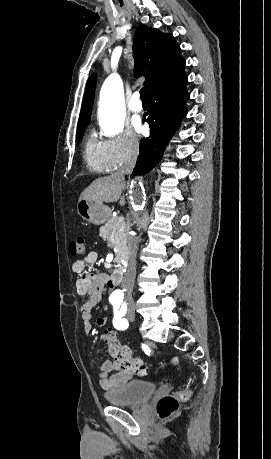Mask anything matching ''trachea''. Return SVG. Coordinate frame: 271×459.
Returning <instances> with one entry per match:
<instances>
[{"label":"trachea","instance_id":"trachea-1","mask_svg":"<svg viewBox=\"0 0 271 459\" xmlns=\"http://www.w3.org/2000/svg\"><path fill=\"white\" fill-rule=\"evenodd\" d=\"M140 96H141L142 102H148L149 101L147 90H146L145 87L141 88Z\"/></svg>","mask_w":271,"mask_h":459}]
</instances>
